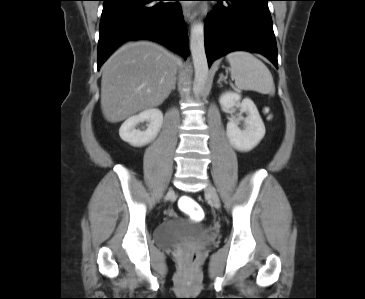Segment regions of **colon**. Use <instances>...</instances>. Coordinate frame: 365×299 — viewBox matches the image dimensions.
Listing matches in <instances>:
<instances>
[{
  "instance_id": "obj_1",
  "label": "colon",
  "mask_w": 365,
  "mask_h": 299,
  "mask_svg": "<svg viewBox=\"0 0 365 299\" xmlns=\"http://www.w3.org/2000/svg\"><path fill=\"white\" fill-rule=\"evenodd\" d=\"M180 209L189 215L193 220H201L204 217V213L200 205L196 200L191 197L183 196L179 199Z\"/></svg>"
}]
</instances>
